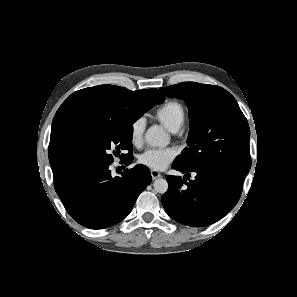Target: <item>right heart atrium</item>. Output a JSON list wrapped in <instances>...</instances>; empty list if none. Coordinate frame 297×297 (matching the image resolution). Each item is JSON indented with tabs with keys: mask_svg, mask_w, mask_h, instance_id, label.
<instances>
[{
	"mask_svg": "<svg viewBox=\"0 0 297 297\" xmlns=\"http://www.w3.org/2000/svg\"><path fill=\"white\" fill-rule=\"evenodd\" d=\"M145 129L146 120L144 117H137L131 122L129 126V135L133 145L139 146L142 143Z\"/></svg>",
	"mask_w": 297,
	"mask_h": 297,
	"instance_id": "right-heart-atrium-1",
	"label": "right heart atrium"
}]
</instances>
